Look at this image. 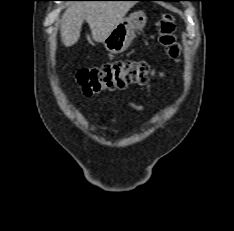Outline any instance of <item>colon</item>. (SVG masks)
Instances as JSON below:
<instances>
[{
  "mask_svg": "<svg viewBox=\"0 0 234 231\" xmlns=\"http://www.w3.org/2000/svg\"><path fill=\"white\" fill-rule=\"evenodd\" d=\"M174 23L170 15H164L158 22L157 42L171 59L179 58V47L174 37ZM152 70L143 61L120 60L104 65L82 69L75 75L85 96L104 90H119L130 84H147Z\"/></svg>",
  "mask_w": 234,
  "mask_h": 231,
  "instance_id": "obj_1",
  "label": "colon"
}]
</instances>
